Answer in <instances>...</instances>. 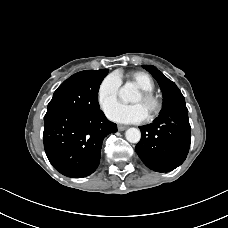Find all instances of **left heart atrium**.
<instances>
[{"label":"left heart atrium","mask_w":228,"mask_h":228,"mask_svg":"<svg viewBox=\"0 0 228 228\" xmlns=\"http://www.w3.org/2000/svg\"><path fill=\"white\" fill-rule=\"evenodd\" d=\"M106 116L117 123L131 124L144 121L147 112L141 104L128 105L116 102L107 107Z\"/></svg>","instance_id":"obj_1"}]
</instances>
